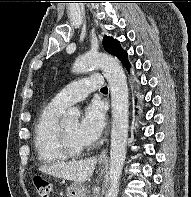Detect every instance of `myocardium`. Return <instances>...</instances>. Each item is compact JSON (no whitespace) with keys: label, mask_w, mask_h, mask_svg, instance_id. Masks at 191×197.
I'll return each instance as SVG.
<instances>
[{"label":"myocardium","mask_w":191,"mask_h":197,"mask_svg":"<svg viewBox=\"0 0 191 197\" xmlns=\"http://www.w3.org/2000/svg\"><path fill=\"white\" fill-rule=\"evenodd\" d=\"M59 138H60V143H61V146L63 148V150L66 152L67 155H69L70 157H77V156H80L82 155L87 147L86 146H76L74 145L67 132L65 131L63 125H60L59 127Z\"/></svg>","instance_id":"myocardium-1"}]
</instances>
